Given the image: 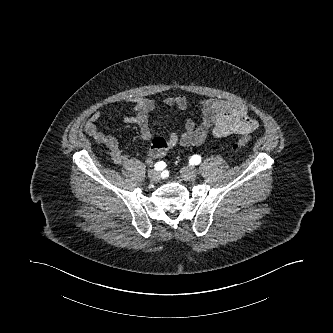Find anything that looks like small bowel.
<instances>
[{
    "label": "small bowel",
    "instance_id": "c3829d8e",
    "mask_svg": "<svg viewBox=\"0 0 333 333\" xmlns=\"http://www.w3.org/2000/svg\"><path fill=\"white\" fill-rule=\"evenodd\" d=\"M132 113L125 117V122L136 125L140 129L141 138L151 141L147 155L149 159H159L177 145H202L210 136L222 138L229 135H248L258 126L256 120L248 114L245 105L229 100L205 99L198 105L202 118L197 123L192 119L186 120L181 134L171 132L168 136L154 137L149 127V117L154 112L155 101L150 97H135L131 100ZM164 103L170 107L185 110L190 107V100L184 95H172L165 98ZM101 118L99 111L94 112L84 125L85 131L98 143L105 145L113 158L118 163L129 159L118 139L102 131L98 127Z\"/></svg>",
    "mask_w": 333,
    "mask_h": 333
}]
</instances>
